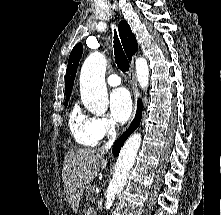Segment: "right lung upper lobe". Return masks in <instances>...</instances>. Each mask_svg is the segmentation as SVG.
<instances>
[{
  "label": "right lung upper lobe",
  "instance_id": "right-lung-upper-lobe-1",
  "mask_svg": "<svg viewBox=\"0 0 221 215\" xmlns=\"http://www.w3.org/2000/svg\"><path fill=\"white\" fill-rule=\"evenodd\" d=\"M118 28L124 50L127 54V57L131 60L132 56L138 49L136 38L134 34L131 32V28L126 21L122 20L119 23ZM82 52H83V46L81 43H78L70 53L68 66L66 70V76H65L66 99H69L71 95L77 67L79 64V60L82 56Z\"/></svg>",
  "mask_w": 221,
  "mask_h": 215
}]
</instances>
